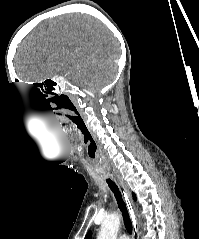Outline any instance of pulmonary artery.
Segmentation results:
<instances>
[{
  "label": "pulmonary artery",
  "mask_w": 199,
  "mask_h": 239,
  "mask_svg": "<svg viewBox=\"0 0 199 239\" xmlns=\"http://www.w3.org/2000/svg\"><path fill=\"white\" fill-rule=\"evenodd\" d=\"M118 239H129L126 235H120Z\"/></svg>",
  "instance_id": "pulmonary-artery-1"
}]
</instances>
